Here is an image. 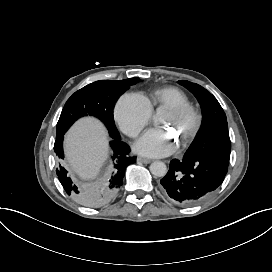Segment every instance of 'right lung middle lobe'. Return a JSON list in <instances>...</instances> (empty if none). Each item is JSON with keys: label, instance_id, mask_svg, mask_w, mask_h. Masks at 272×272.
<instances>
[{"label": "right lung middle lobe", "instance_id": "1", "mask_svg": "<svg viewBox=\"0 0 272 272\" xmlns=\"http://www.w3.org/2000/svg\"><path fill=\"white\" fill-rule=\"evenodd\" d=\"M139 78L121 81L100 80L75 92L66 102L56 128V136L63 135L80 117L95 116L107 127L110 136L119 137L115 127L113 108L118 97L136 84Z\"/></svg>", "mask_w": 272, "mask_h": 272}]
</instances>
